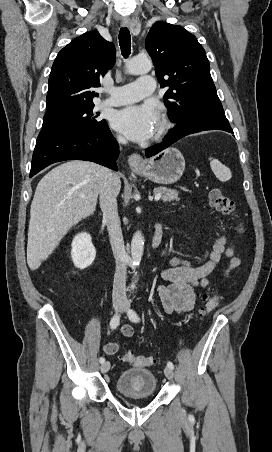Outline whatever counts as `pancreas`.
I'll return each mask as SVG.
<instances>
[{"instance_id":"1","label":"pancreas","mask_w":272,"mask_h":452,"mask_svg":"<svg viewBox=\"0 0 272 452\" xmlns=\"http://www.w3.org/2000/svg\"><path fill=\"white\" fill-rule=\"evenodd\" d=\"M154 193H161V199L163 202H171L174 200H179L178 192L174 189H167L165 187H157L154 189Z\"/></svg>"}]
</instances>
